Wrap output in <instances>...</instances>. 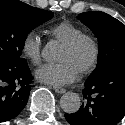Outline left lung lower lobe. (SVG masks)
Returning a JSON list of instances; mask_svg holds the SVG:
<instances>
[{
    "label": "left lung lower lobe",
    "instance_id": "1",
    "mask_svg": "<svg viewBox=\"0 0 125 125\" xmlns=\"http://www.w3.org/2000/svg\"><path fill=\"white\" fill-rule=\"evenodd\" d=\"M86 102L73 114L70 125H116L125 116V69H112L85 82Z\"/></svg>",
    "mask_w": 125,
    "mask_h": 125
}]
</instances>
